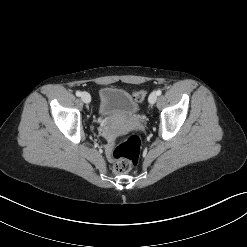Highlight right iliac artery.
Returning <instances> with one entry per match:
<instances>
[{
    "mask_svg": "<svg viewBox=\"0 0 247 247\" xmlns=\"http://www.w3.org/2000/svg\"><path fill=\"white\" fill-rule=\"evenodd\" d=\"M76 96L80 97L81 96V92L80 91H76Z\"/></svg>",
    "mask_w": 247,
    "mask_h": 247,
    "instance_id": "82829eb1",
    "label": "right iliac artery"
}]
</instances>
